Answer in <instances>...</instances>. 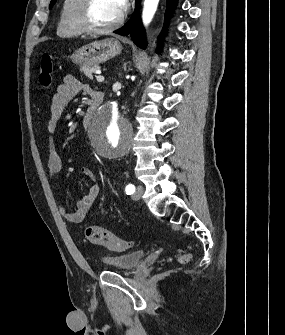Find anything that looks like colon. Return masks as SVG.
<instances>
[{
  "mask_svg": "<svg viewBox=\"0 0 285 335\" xmlns=\"http://www.w3.org/2000/svg\"><path fill=\"white\" fill-rule=\"evenodd\" d=\"M55 57L50 53H44L40 60V67L38 72L39 84L44 90H48L52 84L53 67ZM85 237L93 244L106 247L115 252H124L131 248V243L118 238L109 230L101 226L90 225L85 228ZM191 259L190 253H183L179 255L178 261L186 263Z\"/></svg>",
  "mask_w": 285,
  "mask_h": 335,
  "instance_id": "1",
  "label": "colon"
}]
</instances>
